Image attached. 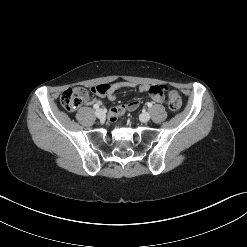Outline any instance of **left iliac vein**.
Returning a JSON list of instances; mask_svg holds the SVG:
<instances>
[{
	"label": "left iliac vein",
	"instance_id": "left-iliac-vein-1",
	"mask_svg": "<svg viewBox=\"0 0 247 247\" xmlns=\"http://www.w3.org/2000/svg\"><path fill=\"white\" fill-rule=\"evenodd\" d=\"M140 120H141L142 122H148V121L150 120V114L147 113V112L141 114Z\"/></svg>",
	"mask_w": 247,
	"mask_h": 247
}]
</instances>
